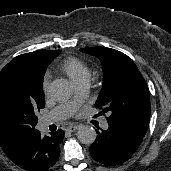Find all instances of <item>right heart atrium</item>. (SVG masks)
Segmentation results:
<instances>
[{"label": "right heart atrium", "instance_id": "obj_1", "mask_svg": "<svg viewBox=\"0 0 171 171\" xmlns=\"http://www.w3.org/2000/svg\"><path fill=\"white\" fill-rule=\"evenodd\" d=\"M49 81H50V74L46 73V75L44 76V82H43L45 93H48L49 91Z\"/></svg>", "mask_w": 171, "mask_h": 171}]
</instances>
